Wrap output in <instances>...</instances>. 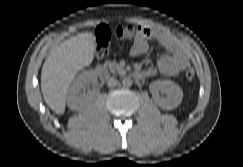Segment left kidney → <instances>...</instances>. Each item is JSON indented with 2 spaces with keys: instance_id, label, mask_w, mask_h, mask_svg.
Returning a JSON list of instances; mask_svg holds the SVG:
<instances>
[{
  "instance_id": "left-kidney-1",
  "label": "left kidney",
  "mask_w": 243,
  "mask_h": 167,
  "mask_svg": "<svg viewBox=\"0 0 243 167\" xmlns=\"http://www.w3.org/2000/svg\"><path fill=\"white\" fill-rule=\"evenodd\" d=\"M154 102L162 109L172 110L181 103L183 98L182 89L173 81L157 80L150 84ZM164 92L166 97H161L159 92Z\"/></svg>"
}]
</instances>
